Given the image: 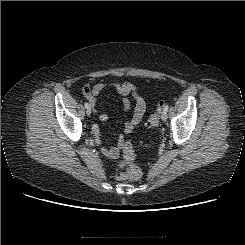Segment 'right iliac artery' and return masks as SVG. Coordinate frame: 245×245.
<instances>
[{"label": "right iliac artery", "instance_id": "1", "mask_svg": "<svg viewBox=\"0 0 245 245\" xmlns=\"http://www.w3.org/2000/svg\"><path fill=\"white\" fill-rule=\"evenodd\" d=\"M84 106L86 107V109L90 108V105L87 102L84 103Z\"/></svg>", "mask_w": 245, "mask_h": 245}]
</instances>
